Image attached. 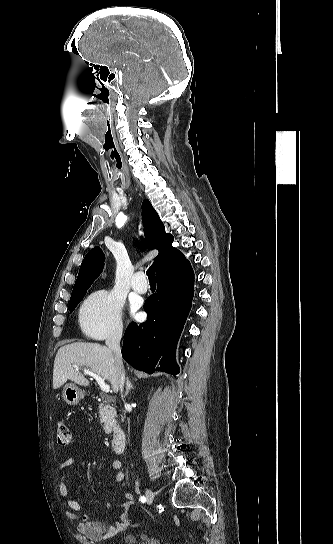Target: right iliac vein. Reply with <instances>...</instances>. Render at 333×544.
Here are the masks:
<instances>
[{"label": "right iliac vein", "mask_w": 333, "mask_h": 544, "mask_svg": "<svg viewBox=\"0 0 333 544\" xmlns=\"http://www.w3.org/2000/svg\"><path fill=\"white\" fill-rule=\"evenodd\" d=\"M146 499L148 505H151L154 501V493L148 488H146Z\"/></svg>", "instance_id": "63e3f726"}]
</instances>
